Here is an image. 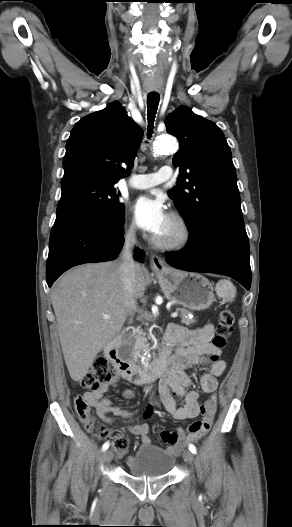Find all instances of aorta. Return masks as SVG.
Segmentation results:
<instances>
[{
  "mask_svg": "<svg viewBox=\"0 0 292 527\" xmlns=\"http://www.w3.org/2000/svg\"><path fill=\"white\" fill-rule=\"evenodd\" d=\"M175 150V141L171 136H161L154 142V151L158 154L170 153ZM142 363L148 365V357L145 355L142 358Z\"/></svg>",
  "mask_w": 292,
  "mask_h": 527,
  "instance_id": "1",
  "label": "aorta"
}]
</instances>
